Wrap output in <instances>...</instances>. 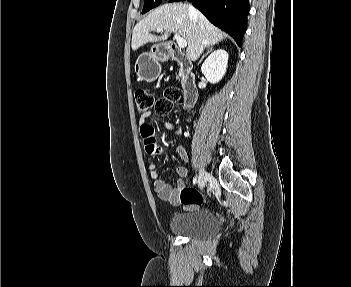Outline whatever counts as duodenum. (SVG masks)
<instances>
[{
    "label": "duodenum",
    "instance_id": "410a0bca",
    "mask_svg": "<svg viewBox=\"0 0 351 287\" xmlns=\"http://www.w3.org/2000/svg\"><path fill=\"white\" fill-rule=\"evenodd\" d=\"M156 55L165 60H175L180 64L182 68L181 84L185 94L184 108H192L197 102L198 90L192 72L191 58L173 42L160 46Z\"/></svg>",
    "mask_w": 351,
    "mask_h": 287
}]
</instances>
